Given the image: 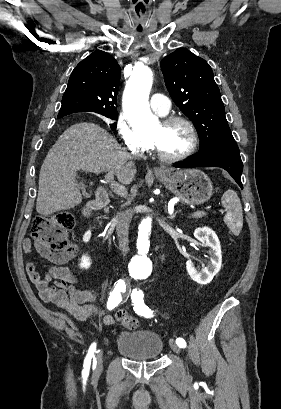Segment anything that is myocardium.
Masks as SVG:
<instances>
[{"mask_svg":"<svg viewBox=\"0 0 281 409\" xmlns=\"http://www.w3.org/2000/svg\"><path fill=\"white\" fill-rule=\"evenodd\" d=\"M181 123L183 124L189 134H190V143L188 148L182 152L181 154L178 155H166L164 153H162L156 146L155 142L151 139L145 136V143H146V147L148 150H150L156 157H158L160 160L167 162V163H175V162H180L183 161L185 159H187L188 157H190L196 150L197 146H198V133L197 130L194 126V124L186 117L184 116H180V115H170V116H166L164 118H162L160 120V124L162 126H168L172 123Z\"/></svg>","mask_w":281,"mask_h":409,"instance_id":"f54148a6","label":"myocardium"}]
</instances>
